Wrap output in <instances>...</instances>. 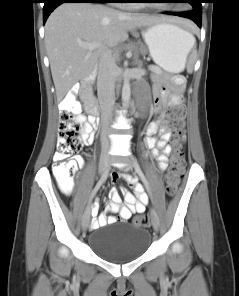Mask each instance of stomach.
Here are the masks:
<instances>
[{
  "label": "stomach",
  "mask_w": 239,
  "mask_h": 296,
  "mask_svg": "<svg viewBox=\"0 0 239 296\" xmlns=\"http://www.w3.org/2000/svg\"><path fill=\"white\" fill-rule=\"evenodd\" d=\"M153 61L168 73H180L192 47L191 34L182 28L160 22L142 31Z\"/></svg>",
  "instance_id": "stomach-1"
}]
</instances>
